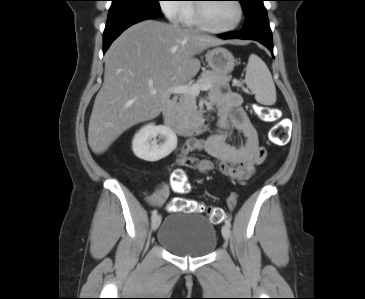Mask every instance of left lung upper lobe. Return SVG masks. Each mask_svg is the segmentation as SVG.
Returning a JSON list of instances; mask_svg holds the SVG:
<instances>
[{"mask_svg":"<svg viewBox=\"0 0 365 299\" xmlns=\"http://www.w3.org/2000/svg\"><path fill=\"white\" fill-rule=\"evenodd\" d=\"M243 8L246 17H249L254 12L264 9V0H238Z\"/></svg>","mask_w":365,"mask_h":299,"instance_id":"5c2ea615","label":"left lung upper lobe"}]
</instances>
